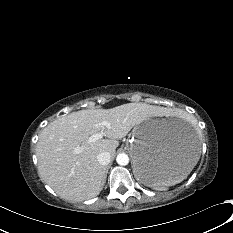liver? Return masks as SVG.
Segmentation results:
<instances>
[{"instance_id":"6515ba94","label":"liver","mask_w":233,"mask_h":233,"mask_svg":"<svg viewBox=\"0 0 233 233\" xmlns=\"http://www.w3.org/2000/svg\"><path fill=\"white\" fill-rule=\"evenodd\" d=\"M165 108L145 103H127L111 109H86L72 112L48 124L36 145L40 178L61 198L84 201L97 196L105 182V167L97 155L114 156L120 139L137 124L155 116H171ZM108 121L110 128L100 125ZM106 139L89 143L96 133ZM81 148L77 153L75 149Z\"/></svg>"}]
</instances>
